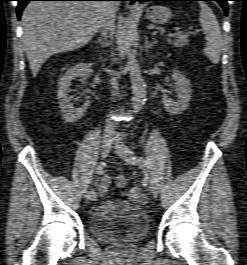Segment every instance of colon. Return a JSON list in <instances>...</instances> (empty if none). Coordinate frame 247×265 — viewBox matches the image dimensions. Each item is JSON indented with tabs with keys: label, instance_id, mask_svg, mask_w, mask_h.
Listing matches in <instances>:
<instances>
[{
	"label": "colon",
	"instance_id": "5ec220e1",
	"mask_svg": "<svg viewBox=\"0 0 247 265\" xmlns=\"http://www.w3.org/2000/svg\"><path fill=\"white\" fill-rule=\"evenodd\" d=\"M115 184L118 188H125L127 186V179L124 176H117Z\"/></svg>",
	"mask_w": 247,
	"mask_h": 265
}]
</instances>
